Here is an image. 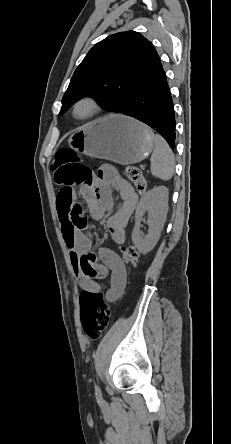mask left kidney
I'll return each instance as SVG.
<instances>
[{"mask_svg":"<svg viewBox=\"0 0 231 444\" xmlns=\"http://www.w3.org/2000/svg\"><path fill=\"white\" fill-rule=\"evenodd\" d=\"M168 195V188L165 186L154 187L141 197L137 205L132 241L142 254L149 253L159 240L167 217ZM145 212L148 213L149 230L147 235L142 236L140 223Z\"/></svg>","mask_w":231,"mask_h":444,"instance_id":"obj_1","label":"left kidney"}]
</instances>
